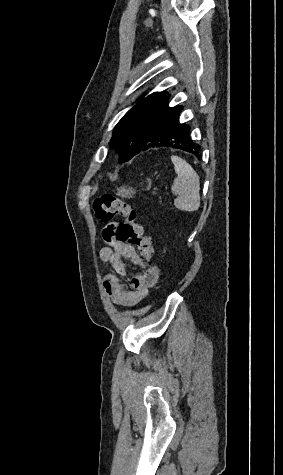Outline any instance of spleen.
Here are the masks:
<instances>
[{
  "label": "spleen",
  "instance_id": "spleen-1",
  "mask_svg": "<svg viewBox=\"0 0 283 475\" xmlns=\"http://www.w3.org/2000/svg\"><path fill=\"white\" fill-rule=\"evenodd\" d=\"M171 162L177 174L171 188L173 194H178V198L174 200V206L182 212H196L200 208L199 176L182 158L171 156Z\"/></svg>",
  "mask_w": 283,
  "mask_h": 475
}]
</instances>
